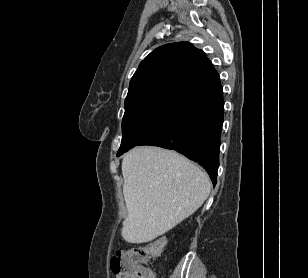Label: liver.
<instances>
[{"mask_svg":"<svg viewBox=\"0 0 308 278\" xmlns=\"http://www.w3.org/2000/svg\"><path fill=\"white\" fill-rule=\"evenodd\" d=\"M127 217L121 235L145 243L192 215L208 198L211 184L200 167L173 150L138 146L122 160Z\"/></svg>","mask_w":308,"mask_h":278,"instance_id":"6515ba94","label":"liver"}]
</instances>
